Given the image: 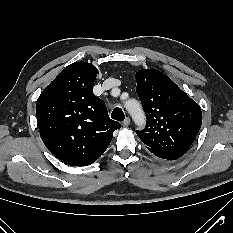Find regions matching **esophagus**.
I'll list each match as a JSON object with an SVG mask.
<instances>
[{
    "label": "esophagus",
    "mask_w": 233,
    "mask_h": 233,
    "mask_svg": "<svg viewBox=\"0 0 233 233\" xmlns=\"http://www.w3.org/2000/svg\"><path fill=\"white\" fill-rule=\"evenodd\" d=\"M130 125V118L127 117L123 122H122V126L123 127H128Z\"/></svg>",
    "instance_id": "obj_1"
}]
</instances>
